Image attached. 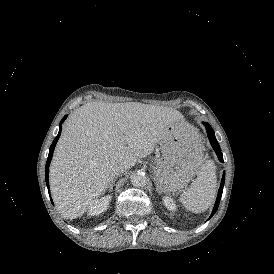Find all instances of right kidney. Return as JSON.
I'll return each mask as SVG.
<instances>
[{
	"instance_id": "1",
	"label": "right kidney",
	"mask_w": 274,
	"mask_h": 274,
	"mask_svg": "<svg viewBox=\"0 0 274 274\" xmlns=\"http://www.w3.org/2000/svg\"><path fill=\"white\" fill-rule=\"evenodd\" d=\"M110 197L101 198L99 201H95L93 204L90 205V215H98L105 211L108 207Z\"/></svg>"
}]
</instances>
